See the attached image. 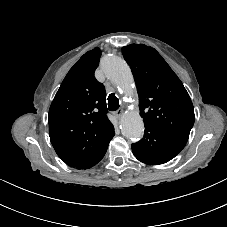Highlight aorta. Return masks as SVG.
Returning a JSON list of instances; mask_svg holds the SVG:
<instances>
[{"instance_id":"obj_1","label":"aorta","mask_w":227,"mask_h":227,"mask_svg":"<svg viewBox=\"0 0 227 227\" xmlns=\"http://www.w3.org/2000/svg\"><path fill=\"white\" fill-rule=\"evenodd\" d=\"M101 68L125 96L134 93V79L127 63L116 55H106L101 61ZM123 134L129 139L140 138L144 132L143 119L138 112L128 111L121 117Z\"/></svg>"}]
</instances>
